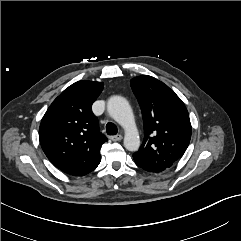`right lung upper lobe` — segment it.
Instances as JSON below:
<instances>
[{
	"instance_id": "right-lung-upper-lobe-1",
	"label": "right lung upper lobe",
	"mask_w": 241,
	"mask_h": 241,
	"mask_svg": "<svg viewBox=\"0 0 241 241\" xmlns=\"http://www.w3.org/2000/svg\"><path fill=\"white\" fill-rule=\"evenodd\" d=\"M102 90L101 82L78 81L53 101L41 120V147L64 173L82 175L100 163V148L107 139L99 132L91 106Z\"/></svg>"
}]
</instances>
